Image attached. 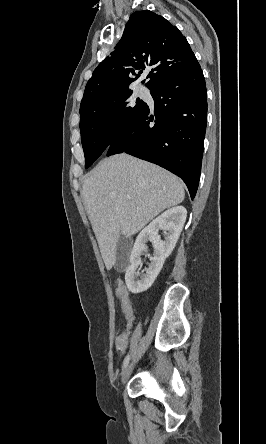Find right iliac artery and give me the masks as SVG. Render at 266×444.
<instances>
[{
	"label": "right iliac artery",
	"mask_w": 266,
	"mask_h": 444,
	"mask_svg": "<svg viewBox=\"0 0 266 444\" xmlns=\"http://www.w3.org/2000/svg\"><path fill=\"white\" fill-rule=\"evenodd\" d=\"M129 360H130V356L127 355V356L125 357L124 361H123V367H126V366L128 365Z\"/></svg>",
	"instance_id": "82829eb1"
}]
</instances>
